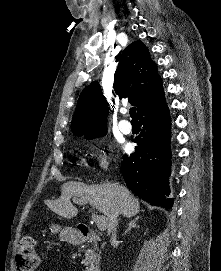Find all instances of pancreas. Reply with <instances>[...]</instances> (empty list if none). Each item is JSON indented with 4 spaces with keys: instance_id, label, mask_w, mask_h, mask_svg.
I'll list each match as a JSON object with an SVG mask.
<instances>
[{
    "instance_id": "obj_1",
    "label": "pancreas",
    "mask_w": 221,
    "mask_h": 271,
    "mask_svg": "<svg viewBox=\"0 0 221 271\" xmlns=\"http://www.w3.org/2000/svg\"><path fill=\"white\" fill-rule=\"evenodd\" d=\"M100 249H98V247H96V245H94V247H89V249H86L85 251V259H83L84 261V265H98V263H100ZM86 269H88V267H86Z\"/></svg>"
}]
</instances>
